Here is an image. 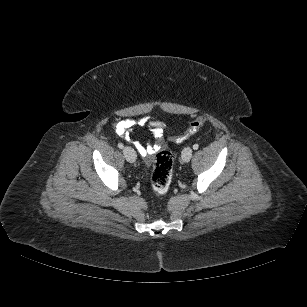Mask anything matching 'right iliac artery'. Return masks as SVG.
Here are the masks:
<instances>
[{"mask_svg": "<svg viewBox=\"0 0 307 307\" xmlns=\"http://www.w3.org/2000/svg\"><path fill=\"white\" fill-rule=\"evenodd\" d=\"M124 145L122 143H118V148L123 149Z\"/></svg>", "mask_w": 307, "mask_h": 307, "instance_id": "right-iliac-artery-1", "label": "right iliac artery"}]
</instances>
